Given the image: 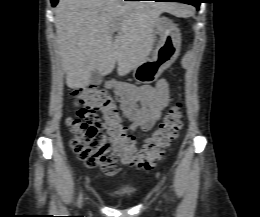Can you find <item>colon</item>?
Returning a JSON list of instances; mask_svg holds the SVG:
<instances>
[{
    "label": "colon",
    "instance_id": "1",
    "mask_svg": "<svg viewBox=\"0 0 260 217\" xmlns=\"http://www.w3.org/2000/svg\"><path fill=\"white\" fill-rule=\"evenodd\" d=\"M74 97L78 112L67 120L72 134L70 146L87 167L99 168L108 177L117 173L118 158L123 164L151 170L183 125V110L178 104L168 111L144 146L137 149L109 92L83 88L76 90ZM97 113L102 115L101 122Z\"/></svg>",
    "mask_w": 260,
    "mask_h": 217
}]
</instances>
